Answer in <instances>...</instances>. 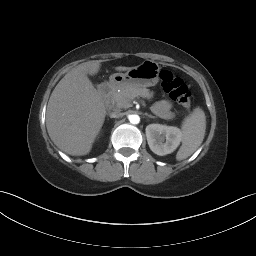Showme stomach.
<instances>
[{
    "label": "stomach",
    "mask_w": 256,
    "mask_h": 256,
    "mask_svg": "<svg viewBox=\"0 0 256 256\" xmlns=\"http://www.w3.org/2000/svg\"><path fill=\"white\" fill-rule=\"evenodd\" d=\"M160 66L157 62L146 60L126 73H114L109 83L119 89L126 87H151L159 81Z\"/></svg>",
    "instance_id": "0dacf381"
}]
</instances>
